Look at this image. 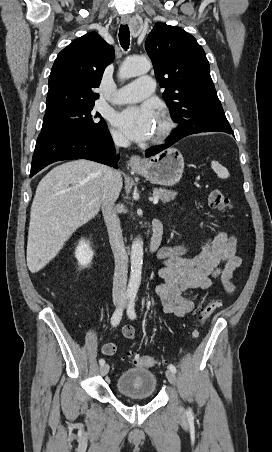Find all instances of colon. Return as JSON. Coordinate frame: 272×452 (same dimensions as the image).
I'll list each match as a JSON object with an SVG mask.
<instances>
[{"label": "colon", "mask_w": 272, "mask_h": 452, "mask_svg": "<svg viewBox=\"0 0 272 452\" xmlns=\"http://www.w3.org/2000/svg\"><path fill=\"white\" fill-rule=\"evenodd\" d=\"M208 204L212 209L227 212L231 209L232 204L230 199L219 189H210L207 194ZM217 304L216 302H209L205 306L201 307L198 311L200 325H203L212 315ZM195 331L193 335H196ZM127 361L139 367H153L158 364V361L153 356L141 355V354H127Z\"/></svg>", "instance_id": "obj_1"}]
</instances>
